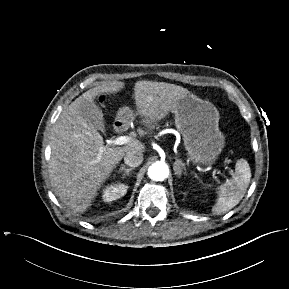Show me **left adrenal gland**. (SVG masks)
<instances>
[{
    "mask_svg": "<svg viewBox=\"0 0 289 289\" xmlns=\"http://www.w3.org/2000/svg\"><path fill=\"white\" fill-rule=\"evenodd\" d=\"M173 169L175 171V174H177L180 177L183 172V169L185 170V167L181 160L176 159L173 165Z\"/></svg>",
    "mask_w": 289,
    "mask_h": 289,
    "instance_id": "left-adrenal-gland-1",
    "label": "left adrenal gland"
}]
</instances>
